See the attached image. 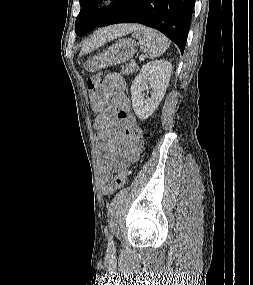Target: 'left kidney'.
<instances>
[{
  "label": "left kidney",
  "mask_w": 253,
  "mask_h": 285,
  "mask_svg": "<svg viewBox=\"0 0 253 285\" xmlns=\"http://www.w3.org/2000/svg\"><path fill=\"white\" fill-rule=\"evenodd\" d=\"M171 73L170 62L156 60L144 65L135 77L131 86V100L133 110L139 119H147L156 110L165 95ZM150 89L151 96L145 98L143 92Z\"/></svg>",
  "instance_id": "1"
}]
</instances>
